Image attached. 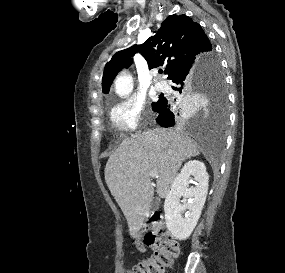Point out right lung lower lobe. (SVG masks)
Returning a JSON list of instances; mask_svg holds the SVG:
<instances>
[{"label": "right lung lower lobe", "mask_w": 285, "mask_h": 273, "mask_svg": "<svg viewBox=\"0 0 285 273\" xmlns=\"http://www.w3.org/2000/svg\"><path fill=\"white\" fill-rule=\"evenodd\" d=\"M207 63L208 57L202 58L195 65L188 66L173 76L170 79L176 84L173 89L182 94L192 90L193 86L201 82ZM186 107L188 105L185 107L175 106L171 109L169 100L162 97L152 106V109L159 114L156 120L161 126L171 127L183 117Z\"/></svg>", "instance_id": "98d812e1"}]
</instances>
